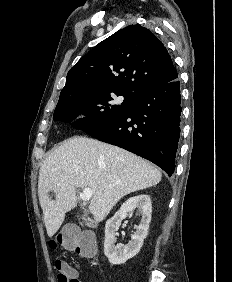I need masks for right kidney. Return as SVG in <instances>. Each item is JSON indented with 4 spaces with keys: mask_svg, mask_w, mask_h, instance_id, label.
<instances>
[{
    "mask_svg": "<svg viewBox=\"0 0 232 282\" xmlns=\"http://www.w3.org/2000/svg\"><path fill=\"white\" fill-rule=\"evenodd\" d=\"M137 209L141 215V222L136 232L131 236V240L125 246H115V232L119 229L121 222L128 214ZM152 204L148 195L141 194L129 198L122 204L119 211L110 218L105 225L104 254L109 262L118 265L125 263L130 258L139 253L143 241L148 234L151 221Z\"/></svg>",
    "mask_w": 232,
    "mask_h": 282,
    "instance_id": "right-kidney-1",
    "label": "right kidney"
}]
</instances>
